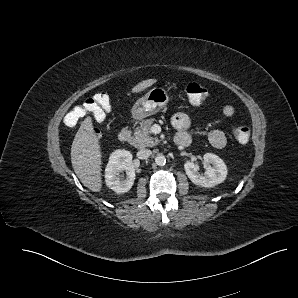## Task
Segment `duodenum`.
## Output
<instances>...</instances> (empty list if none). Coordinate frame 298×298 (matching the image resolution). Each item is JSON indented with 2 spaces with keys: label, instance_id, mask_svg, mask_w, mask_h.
I'll return each mask as SVG.
<instances>
[{
  "label": "duodenum",
  "instance_id": "duodenum-1",
  "mask_svg": "<svg viewBox=\"0 0 298 298\" xmlns=\"http://www.w3.org/2000/svg\"><path fill=\"white\" fill-rule=\"evenodd\" d=\"M118 139L122 143L130 142L131 131L127 128L122 129L118 134ZM191 141V136L184 132H179L174 137V143L179 147H187L191 144Z\"/></svg>",
  "mask_w": 298,
  "mask_h": 298
}]
</instances>
